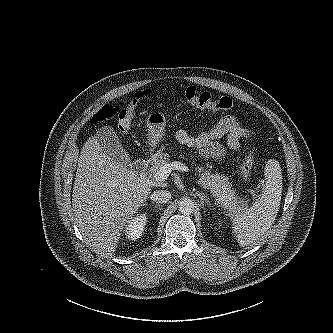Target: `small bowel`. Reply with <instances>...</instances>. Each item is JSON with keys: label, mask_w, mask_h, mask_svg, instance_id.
<instances>
[{"label": "small bowel", "mask_w": 333, "mask_h": 333, "mask_svg": "<svg viewBox=\"0 0 333 333\" xmlns=\"http://www.w3.org/2000/svg\"><path fill=\"white\" fill-rule=\"evenodd\" d=\"M223 136H227L230 149L237 152L240 150V141L252 137L253 133L234 115L221 118L214 126L197 134L184 129L175 132V139L179 143L196 148L203 159H223L227 156L225 148L216 142Z\"/></svg>", "instance_id": "obj_1"}]
</instances>
